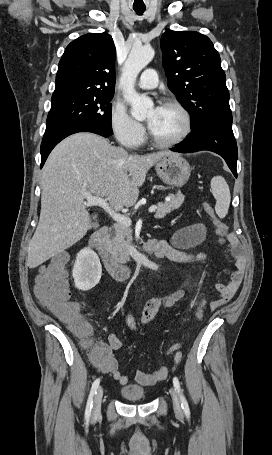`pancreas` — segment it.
Listing matches in <instances>:
<instances>
[{
	"instance_id": "obj_1",
	"label": "pancreas",
	"mask_w": 272,
	"mask_h": 455,
	"mask_svg": "<svg viewBox=\"0 0 272 455\" xmlns=\"http://www.w3.org/2000/svg\"><path fill=\"white\" fill-rule=\"evenodd\" d=\"M169 198V201L158 203L155 218H163L173 210L178 209L184 202L182 194H171ZM132 241V229L130 226L117 224L113 227L110 238L107 241V250L115 261L126 263L129 261V248L132 246Z\"/></svg>"
}]
</instances>
